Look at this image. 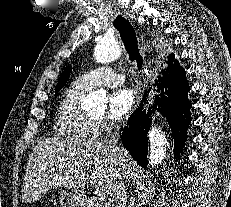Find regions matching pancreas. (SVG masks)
Instances as JSON below:
<instances>
[{
	"label": "pancreas",
	"mask_w": 231,
	"mask_h": 207,
	"mask_svg": "<svg viewBox=\"0 0 231 207\" xmlns=\"http://www.w3.org/2000/svg\"><path fill=\"white\" fill-rule=\"evenodd\" d=\"M84 207H107L103 202L98 201L96 198L88 200Z\"/></svg>",
	"instance_id": "obj_1"
}]
</instances>
